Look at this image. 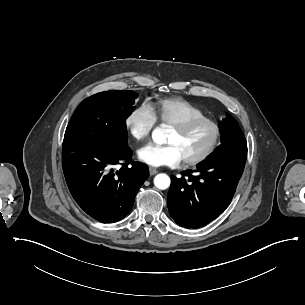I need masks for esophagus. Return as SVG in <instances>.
Instances as JSON below:
<instances>
[{
  "mask_svg": "<svg viewBox=\"0 0 305 305\" xmlns=\"http://www.w3.org/2000/svg\"><path fill=\"white\" fill-rule=\"evenodd\" d=\"M149 173H150V175L152 176V175L157 174L158 171H157L155 168H153V167H149Z\"/></svg>",
  "mask_w": 305,
  "mask_h": 305,
  "instance_id": "esophagus-1",
  "label": "esophagus"
}]
</instances>
